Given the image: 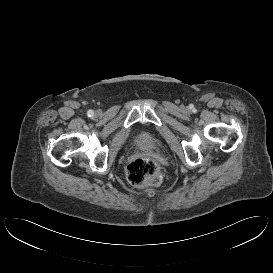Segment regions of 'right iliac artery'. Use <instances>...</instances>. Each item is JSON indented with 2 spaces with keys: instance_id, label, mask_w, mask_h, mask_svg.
I'll list each match as a JSON object with an SVG mask.
<instances>
[{
  "instance_id": "right-iliac-artery-1",
  "label": "right iliac artery",
  "mask_w": 273,
  "mask_h": 273,
  "mask_svg": "<svg viewBox=\"0 0 273 273\" xmlns=\"http://www.w3.org/2000/svg\"><path fill=\"white\" fill-rule=\"evenodd\" d=\"M93 114H94L93 110H89V111L87 112V115H88L89 117L93 116Z\"/></svg>"
}]
</instances>
